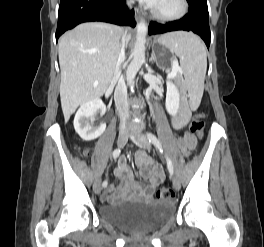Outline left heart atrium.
<instances>
[{
	"instance_id": "left-heart-atrium-1",
	"label": "left heart atrium",
	"mask_w": 264,
	"mask_h": 247,
	"mask_svg": "<svg viewBox=\"0 0 264 247\" xmlns=\"http://www.w3.org/2000/svg\"><path fill=\"white\" fill-rule=\"evenodd\" d=\"M146 1L149 5L155 7L157 5V3L159 2V0H144Z\"/></svg>"
}]
</instances>
